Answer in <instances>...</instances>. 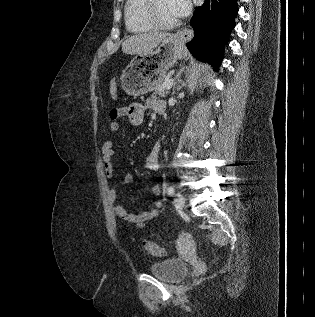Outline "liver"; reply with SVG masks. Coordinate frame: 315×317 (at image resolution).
<instances>
[{
  "label": "liver",
  "mask_w": 315,
  "mask_h": 317,
  "mask_svg": "<svg viewBox=\"0 0 315 317\" xmlns=\"http://www.w3.org/2000/svg\"><path fill=\"white\" fill-rule=\"evenodd\" d=\"M168 36L171 35L165 32H149L132 35L122 43V51L130 55H147Z\"/></svg>",
  "instance_id": "1"
}]
</instances>
